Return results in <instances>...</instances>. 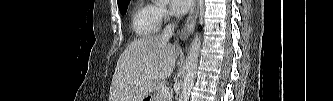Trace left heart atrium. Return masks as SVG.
<instances>
[{"label": "left heart atrium", "mask_w": 333, "mask_h": 101, "mask_svg": "<svg viewBox=\"0 0 333 101\" xmlns=\"http://www.w3.org/2000/svg\"><path fill=\"white\" fill-rule=\"evenodd\" d=\"M191 0H171V7L172 9L178 13V14H184L186 13L190 6H191Z\"/></svg>", "instance_id": "39dd6f15"}]
</instances>
